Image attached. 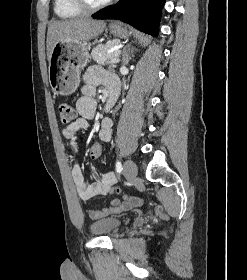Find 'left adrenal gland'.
Returning <instances> with one entry per match:
<instances>
[{"label":"left adrenal gland","mask_w":247,"mask_h":280,"mask_svg":"<svg viewBox=\"0 0 247 280\" xmlns=\"http://www.w3.org/2000/svg\"><path fill=\"white\" fill-rule=\"evenodd\" d=\"M129 60H130L129 53H128V51L125 49L124 52H123L122 64H123V65H127L128 62H129Z\"/></svg>","instance_id":"left-adrenal-gland-1"}]
</instances>
